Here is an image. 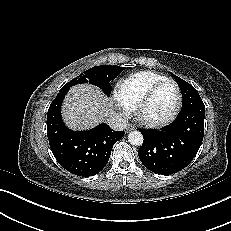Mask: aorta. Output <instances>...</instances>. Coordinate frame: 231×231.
<instances>
[{"mask_svg": "<svg viewBox=\"0 0 231 231\" xmlns=\"http://www.w3.org/2000/svg\"><path fill=\"white\" fill-rule=\"evenodd\" d=\"M128 141L133 146H140L143 143V135L139 131H132L128 135Z\"/></svg>", "mask_w": 231, "mask_h": 231, "instance_id": "762f6f07", "label": "aorta"}]
</instances>
